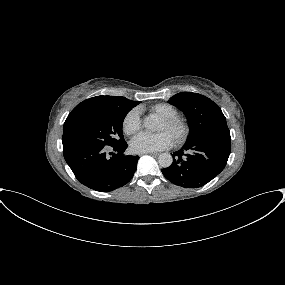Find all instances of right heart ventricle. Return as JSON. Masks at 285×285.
<instances>
[{
	"instance_id": "obj_1",
	"label": "right heart ventricle",
	"mask_w": 285,
	"mask_h": 285,
	"mask_svg": "<svg viewBox=\"0 0 285 285\" xmlns=\"http://www.w3.org/2000/svg\"><path fill=\"white\" fill-rule=\"evenodd\" d=\"M152 114H156L159 118L172 117L178 115V110L168 103H156L149 107Z\"/></svg>"
}]
</instances>
